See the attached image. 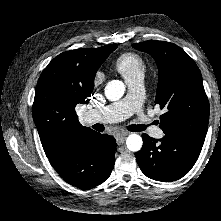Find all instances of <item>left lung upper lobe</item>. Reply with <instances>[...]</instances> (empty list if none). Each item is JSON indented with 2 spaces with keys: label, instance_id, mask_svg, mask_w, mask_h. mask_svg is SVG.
<instances>
[{
  "label": "left lung upper lobe",
  "instance_id": "left-lung-upper-lobe-1",
  "mask_svg": "<svg viewBox=\"0 0 221 221\" xmlns=\"http://www.w3.org/2000/svg\"><path fill=\"white\" fill-rule=\"evenodd\" d=\"M133 48L150 54L157 63L155 103L166 110L160 116V128L165 134L203 146L209 103L194 60L179 46L165 41L148 40L133 44Z\"/></svg>",
  "mask_w": 221,
  "mask_h": 221
}]
</instances>
